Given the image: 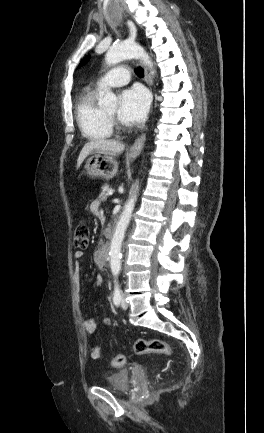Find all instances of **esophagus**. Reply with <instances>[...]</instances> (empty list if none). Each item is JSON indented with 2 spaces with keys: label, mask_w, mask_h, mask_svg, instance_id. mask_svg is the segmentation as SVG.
Returning <instances> with one entry per match:
<instances>
[{
  "label": "esophagus",
  "mask_w": 264,
  "mask_h": 433,
  "mask_svg": "<svg viewBox=\"0 0 264 433\" xmlns=\"http://www.w3.org/2000/svg\"><path fill=\"white\" fill-rule=\"evenodd\" d=\"M144 74H145V81H146V83L148 84L149 87H151V85H152V79H151V76L148 73V70H147L146 67H144ZM145 139H146V133H143L133 143V145L131 146V149H130V157L131 158H135V157H137L140 154V152H141V150H142V148L144 146Z\"/></svg>",
  "instance_id": "obj_1"
}]
</instances>
